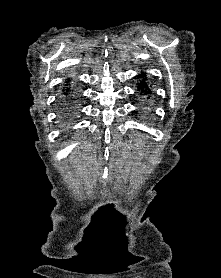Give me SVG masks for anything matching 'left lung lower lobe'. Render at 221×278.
<instances>
[{
    "label": "left lung lower lobe",
    "mask_w": 221,
    "mask_h": 278,
    "mask_svg": "<svg viewBox=\"0 0 221 278\" xmlns=\"http://www.w3.org/2000/svg\"><path fill=\"white\" fill-rule=\"evenodd\" d=\"M140 78H142V81L138 83V91L140 92V95L144 96V98H147V100H150L151 97V85H148L145 74H141Z\"/></svg>",
    "instance_id": "obj_1"
}]
</instances>
